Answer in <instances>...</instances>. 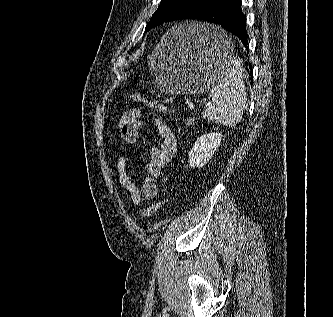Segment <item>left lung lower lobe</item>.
<instances>
[{"mask_svg":"<svg viewBox=\"0 0 333 317\" xmlns=\"http://www.w3.org/2000/svg\"><path fill=\"white\" fill-rule=\"evenodd\" d=\"M241 0H214L189 12L184 19L214 23L236 35L248 50L246 16L241 10Z\"/></svg>","mask_w":333,"mask_h":317,"instance_id":"0a47b994","label":"left lung lower lobe"}]
</instances>
